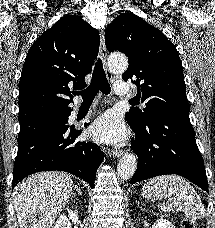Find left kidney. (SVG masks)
<instances>
[{"label": "left kidney", "instance_id": "left-kidney-1", "mask_svg": "<svg viewBox=\"0 0 215 228\" xmlns=\"http://www.w3.org/2000/svg\"><path fill=\"white\" fill-rule=\"evenodd\" d=\"M154 228H175V226L169 220H162L161 218V220H157Z\"/></svg>", "mask_w": 215, "mask_h": 228}]
</instances>
